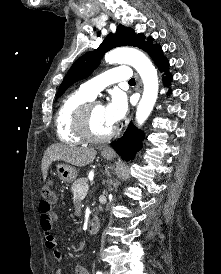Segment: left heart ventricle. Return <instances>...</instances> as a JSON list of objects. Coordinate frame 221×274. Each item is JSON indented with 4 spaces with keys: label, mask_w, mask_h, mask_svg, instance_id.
<instances>
[{
    "label": "left heart ventricle",
    "mask_w": 221,
    "mask_h": 274,
    "mask_svg": "<svg viewBox=\"0 0 221 274\" xmlns=\"http://www.w3.org/2000/svg\"><path fill=\"white\" fill-rule=\"evenodd\" d=\"M91 127L96 134L102 135L108 133L110 128L105 121L104 106L97 105L91 112Z\"/></svg>",
    "instance_id": "1"
}]
</instances>
